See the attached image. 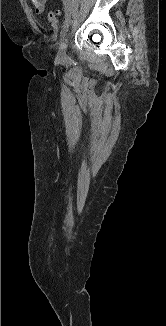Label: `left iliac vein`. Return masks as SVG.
I'll return each instance as SVG.
<instances>
[{
	"mask_svg": "<svg viewBox=\"0 0 166 326\" xmlns=\"http://www.w3.org/2000/svg\"><path fill=\"white\" fill-rule=\"evenodd\" d=\"M67 46H68V37H66L59 48V56L61 58H66L67 56Z\"/></svg>",
	"mask_w": 166,
	"mask_h": 326,
	"instance_id": "obj_1",
	"label": "left iliac vein"
}]
</instances>
